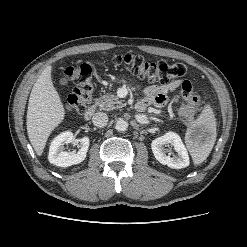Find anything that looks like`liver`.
Listing matches in <instances>:
<instances>
[{
  "label": "liver",
  "mask_w": 247,
  "mask_h": 247,
  "mask_svg": "<svg viewBox=\"0 0 247 247\" xmlns=\"http://www.w3.org/2000/svg\"><path fill=\"white\" fill-rule=\"evenodd\" d=\"M52 66L36 80L28 103L27 133L36 154L41 156L48 137L64 120L65 109L52 81Z\"/></svg>",
  "instance_id": "obj_1"
}]
</instances>
